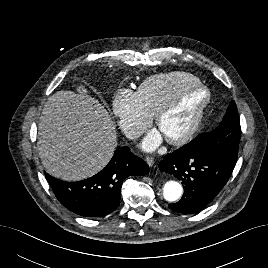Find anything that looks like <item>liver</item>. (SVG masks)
Listing matches in <instances>:
<instances>
[{"instance_id": "liver-1", "label": "liver", "mask_w": 268, "mask_h": 268, "mask_svg": "<svg viewBox=\"0 0 268 268\" xmlns=\"http://www.w3.org/2000/svg\"><path fill=\"white\" fill-rule=\"evenodd\" d=\"M38 151L50 175L78 181L101 171L117 146L108 111L86 94L61 90L51 95L38 125Z\"/></svg>"}]
</instances>
